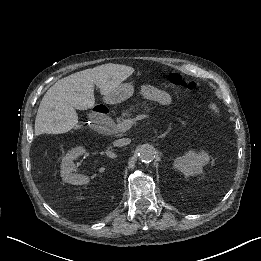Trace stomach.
<instances>
[{"instance_id": "stomach-1", "label": "stomach", "mask_w": 261, "mask_h": 261, "mask_svg": "<svg viewBox=\"0 0 261 261\" xmlns=\"http://www.w3.org/2000/svg\"><path fill=\"white\" fill-rule=\"evenodd\" d=\"M134 93V86L129 83L120 84L108 95L104 96V101L108 104H117L130 98Z\"/></svg>"}]
</instances>
